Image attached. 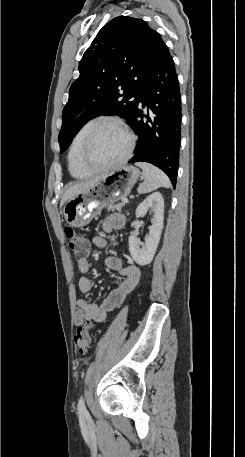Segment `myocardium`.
Segmentation results:
<instances>
[{
    "label": "myocardium",
    "mask_w": 245,
    "mask_h": 457,
    "mask_svg": "<svg viewBox=\"0 0 245 457\" xmlns=\"http://www.w3.org/2000/svg\"><path fill=\"white\" fill-rule=\"evenodd\" d=\"M105 128H113V129H116L119 132H121L128 139V144H127L125 151L117 159H115L112 163H110L107 166L101 167V168H93L86 163V160H85L86 151L92 144L96 135ZM134 147H135V136L126 125H124L123 123L116 121V120H102V121L96 122L95 125L87 133V135L84 139V142L78 151V157H77L78 163H79L80 167L89 175H95V174H99L102 172L110 171V170L117 168L124 162H126L130 158V156L134 150Z\"/></svg>",
    "instance_id": "myocardium-1"
}]
</instances>
